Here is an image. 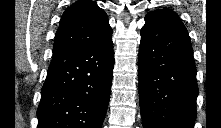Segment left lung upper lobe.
I'll use <instances>...</instances> for the list:
<instances>
[{
	"label": "left lung upper lobe",
	"mask_w": 221,
	"mask_h": 128,
	"mask_svg": "<svg viewBox=\"0 0 221 128\" xmlns=\"http://www.w3.org/2000/svg\"><path fill=\"white\" fill-rule=\"evenodd\" d=\"M147 16H160V17H164L169 21H172L176 24H178L179 26L185 28L184 24L182 23V21L178 18V16L176 15V13H174L172 10L170 9H162V10H157V11H153L147 14ZM186 29V28H185Z\"/></svg>",
	"instance_id": "left-lung-upper-lobe-1"
}]
</instances>
